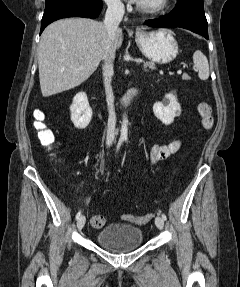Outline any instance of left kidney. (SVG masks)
Listing matches in <instances>:
<instances>
[{
    "label": "left kidney",
    "instance_id": "left-kidney-1",
    "mask_svg": "<svg viewBox=\"0 0 240 287\" xmlns=\"http://www.w3.org/2000/svg\"><path fill=\"white\" fill-rule=\"evenodd\" d=\"M154 115L165 125H170L181 113V106L174 94L169 93L161 102L153 105Z\"/></svg>",
    "mask_w": 240,
    "mask_h": 287
}]
</instances>
